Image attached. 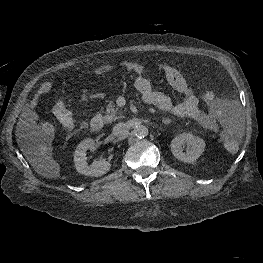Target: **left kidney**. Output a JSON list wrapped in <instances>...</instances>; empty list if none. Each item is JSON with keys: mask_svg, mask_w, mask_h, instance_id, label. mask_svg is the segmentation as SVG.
Listing matches in <instances>:
<instances>
[{"mask_svg": "<svg viewBox=\"0 0 263 263\" xmlns=\"http://www.w3.org/2000/svg\"><path fill=\"white\" fill-rule=\"evenodd\" d=\"M187 145V151L183 152L182 146ZM173 155L186 163H194L203 153L205 142L203 139L189 133H182L171 141Z\"/></svg>", "mask_w": 263, "mask_h": 263, "instance_id": "5707ae66", "label": "left kidney"}]
</instances>
